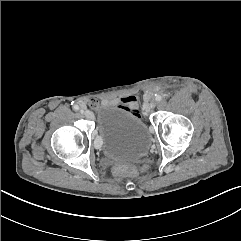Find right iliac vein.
<instances>
[{"instance_id":"1","label":"right iliac vein","mask_w":241,"mask_h":241,"mask_svg":"<svg viewBox=\"0 0 241 241\" xmlns=\"http://www.w3.org/2000/svg\"><path fill=\"white\" fill-rule=\"evenodd\" d=\"M80 113H81V114H84L86 117H89V116H90V112L87 111V110L81 109V110H80Z\"/></svg>"}]
</instances>
